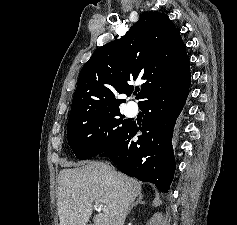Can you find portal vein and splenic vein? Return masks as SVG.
<instances>
[{
    "label": "portal vein and splenic vein",
    "instance_id": "obj_1",
    "mask_svg": "<svg viewBox=\"0 0 237 225\" xmlns=\"http://www.w3.org/2000/svg\"><path fill=\"white\" fill-rule=\"evenodd\" d=\"M95 206H97V207H99V208L102 207V205H101L98 201H95ZM104 210H105V208H104Z\"/></svg>",
    "mask_w": 237,
    "mask_h": 225
}]
</instances>
